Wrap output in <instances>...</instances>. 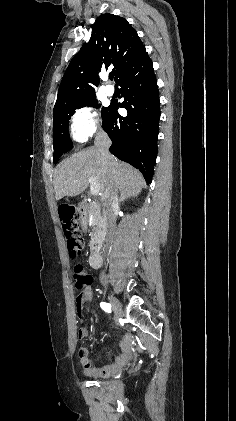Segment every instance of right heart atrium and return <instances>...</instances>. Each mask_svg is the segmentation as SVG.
<instances>
[{
    "instance_id": "right-heart-atrium-1",
    "label": "right heart atrium",
    "mask_w": 236,
    "mask_h": 421,
    "mask_svg": "<svg viewBox=\"0 0 236 421\" xmlns=\"http://www.w3.org/2000/svg\"><path fill=\"white\" fill-rule=\"evenodd\" d=\"M100 129V112L94 107H82L71 117V136L77 143L87 142Z\"/></svg>"
}]
</instances>
